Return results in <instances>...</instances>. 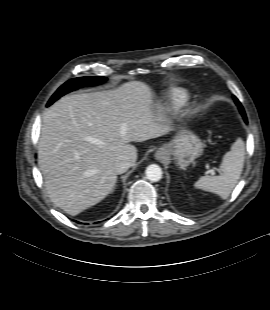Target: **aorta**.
Segmentation results:
<instances>
[{
  "instance_id": "aorta-1",
  "label": "aorta",
  "mask_w": 270,
  "mask_h": 310,
  "mask_svg": "<svg viewBox=\"0 0 270 310\" xmlns=\"http://www.w3.org/2000/svg\"><path fill=\"white\" fill-rule=\"evenodd\" d=\"M145 174H146L147 179L153 182H157L161 180L163 173H162V169L160 168V166L156 164H151L146 168Z\"/></svg>"
}]
</instances>
